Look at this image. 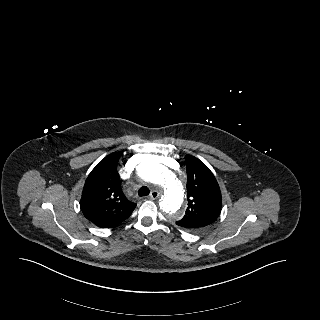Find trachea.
<instances>
[{
    "label": "trachea",
    "mask_w": 320,
    "mask_h": 320,
    "mask_svg": "<svg viewBox=\"0 0 320 320\" xmlns=\"http://www.w3.org/2000/svg\"><path fill=\"white\" fill-rule=\"evenodd\" d=\"M149 193H150V190L146 186H142L138 191V194L140 197L147 196L149 195Z\"/></svg>",
    "instance_id": "3493384b"
}]
</instances>
